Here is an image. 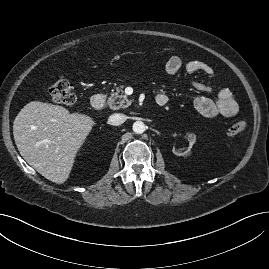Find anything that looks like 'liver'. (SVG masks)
<instances>
[{
    "label": "liver",
    "instance_id": "1",
    "mask_svg": "<svg viewBox=\"0 0 269 269\" xmlns=\"http://www.w3.org/2000/svg\"><path fill=\"white\" fill-rule=\"evenodd\" d=\"M94 124L85 114H71L63 106L32 101L16 116L13 135L25 161L46 179L62 184Z\"/></svg>",
    "mask_w": 269,
    "mask_h": 269
}]
</instances>
